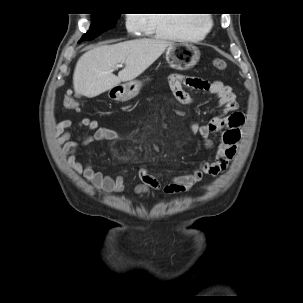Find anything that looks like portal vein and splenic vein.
I'll use <instances>...</instances> for the list:
<instances>
[{"instance_id":"18ae733b","label":"portal vein and splenic vein","mask_w":303,"mask_h":303,"mask_svg":"<svg viewBox=\"0 0 303 303\" xmlns=\"http://www.w3.org/2000/svg\"><path fill=\"white\" fill-rule=\"evenodd\" d=\"M120 66H121V65H119V64L116 65L117 68L120 67Z\"/></svg>"}]
</instances>
